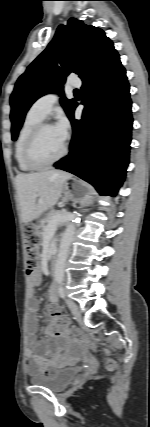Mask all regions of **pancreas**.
<instances>
[{
    "label": "pancreas",
    "mask_w": 150,
    "mask_h": 427,
    "mask_svg": "<svg viewBox=\"0 0 150 427\" xmlns=\"http://www.w3.org/2000/svg\"><path fill=\"white\" fill-rule=\"evenodd\" d=\"M67 215V212L64 211H57L54 213H50L47 218L45 219L44 223H48L53 230H56L59 226L63 225L64 221L68 218H65ZM60 216L58 219L57 217ZM42 232H40V235H44L45 230L47 229L46 225H41Z\"/></svg>",
    "instance_id": "1"
}]
</instances>
